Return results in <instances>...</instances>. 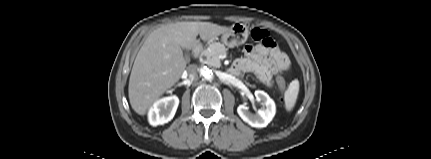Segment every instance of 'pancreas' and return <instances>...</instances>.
<instances>
[{
  "label": "pancreas",
  "mask_w": 431,
  "mask_h": 159,
  "mask_svg": "<svg viewBox=\"0 0 431 159\" xmlns=\"http://www.w3.org/2000/svg\"><path fill=\"white\" fill-rule=\"evenodd\" d=\"M227 53V48L219 43L215 42L209 45L207 49L202 52V56L204 57V63L213 66L220 67V55H224Z\"/></svg>",
  "instance_id": "cf45deb5"
}]
</instances>
